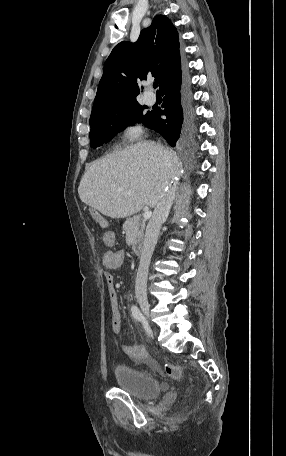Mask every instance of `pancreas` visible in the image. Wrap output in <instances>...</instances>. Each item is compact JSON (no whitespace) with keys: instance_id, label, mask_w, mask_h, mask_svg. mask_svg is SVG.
I'll use <instances>...</instances> for the list:
<instances>
[{"instance_id":"pancreas-1","label":"pancreas","mask_w":286,"mask_h":456,"mask_svg":"<svg viewBox=\"0 0 286 456\" xmlns=\"http://www.w3.org/2000/svg\"><path fill=\"white\" fill-rule=\"evenodd\" d=\"M145 223L139 216L129 218L123 224V230L126 233V243L128 246H134L142 241Z\"/></svg>"}]
</instances>
